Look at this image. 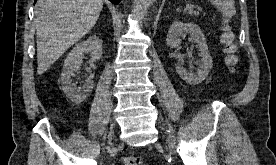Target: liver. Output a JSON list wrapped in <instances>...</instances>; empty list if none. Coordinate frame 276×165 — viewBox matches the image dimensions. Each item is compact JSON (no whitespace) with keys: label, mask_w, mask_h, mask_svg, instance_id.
<instances>
[{"label":"liver","mask_w":276,"mask_h":165,"mask_svg":"<svg viewBox=\"0 0 276 165\" xmlns=\"http://www.w3.org/2000/svg\"><path fill=\"white\" fill-rule=\"evenodd\" d=\"M103 0H38L37 72L43 74L96 24Z\"/></svg>","instance_id":"liver-1"}]
</instances>
